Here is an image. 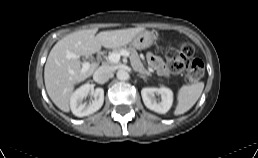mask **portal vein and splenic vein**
Wrapping results in <instances>:
<instances>
[{
	"instance_id": "obj_1",
	"label": "portal vein and splenic vein",
	"mask_w": 258,
	"mask_h": 158,
	"mask_svg": "<svg viewBox=\"0 0 258 158\" xmlns=\"http://www.w3.org/2000/svg\"><path fill=\"white\" fill-rule=\"evenodd\" d=\"M120 56L128 57V56H129V52L123 50V51H121L120 53H112V54L109 55L108 58H109V61H110L111 63H114V64H115V63H118V62H119ZM66 57H67L68 59H70V58H79L76 54H74V53H72V52H68L67 55H66ZM89 67H90V63H89V62H84L81 72H82V73L86 72Z\"/></svg>"
}]
</instances>
